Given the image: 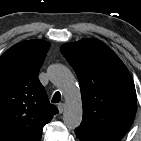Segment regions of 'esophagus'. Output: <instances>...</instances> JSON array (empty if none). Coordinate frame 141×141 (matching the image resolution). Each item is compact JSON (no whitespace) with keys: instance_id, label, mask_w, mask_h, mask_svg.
<instances>
[{"instance_id":"34e87169","label":"esophagus","mask_w":141,"mask_h":141,"mask_svg":"<svg viewBox=\"0 0 141 141\" xmlns=\"http://www.w3.org/2000/svg\"><path fill=\"white\" fill-rule=\"evenodd\" d=\"M57 107H58L59 113H63L64 112V110H65V104L64 103H59L57 105Z\"/></svg>"}]
</instances>
